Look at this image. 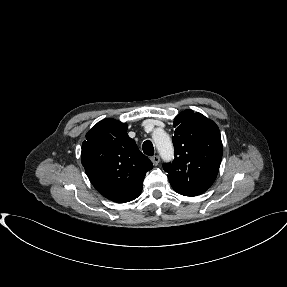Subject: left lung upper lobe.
Instances as JSON below:
<instances>
[{
    "label": "left lung upper lobe",
    "mask_w": 287,
    "mask_h": 287,
    "mask_svg": "<svg viewBox=\"0 0 287 287\" xmlns=\"http://www.w3.org/2000/svg\"><path fill=\"white\" fill-rule=\"evenodd\" d=\"M174 127L175 158L163 168L177 193L197 196L213 184L219 171L223 154L220 131L215 122L192 110L175 117Z\"/></svg>",
    "instance_id": "left-lung-upper-lobe-1"
}]
</instances>
